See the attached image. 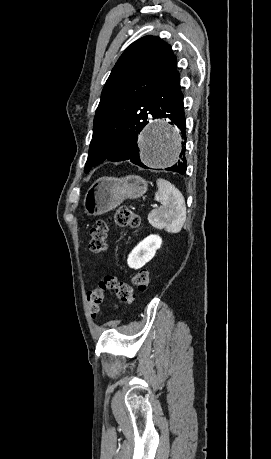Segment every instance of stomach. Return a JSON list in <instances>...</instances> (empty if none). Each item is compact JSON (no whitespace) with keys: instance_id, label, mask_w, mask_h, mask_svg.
<instances>
[{"instance_id":"stomach-1","label":"stomach","mask_w":271,"mask_h":459,"mask_svg":"<svg viewBox=\"0 0 271 459\" xmlns=\"http://www.w3.org/2000/svg\"><path fill=\"white\" fill-rule=\"evenodd\" d=\"M148 182L140 176L126 178H99L84 198V208L88 216H101L110 210H115L123 200H134L146 194Z\"/></svg>"}]
</instances>
